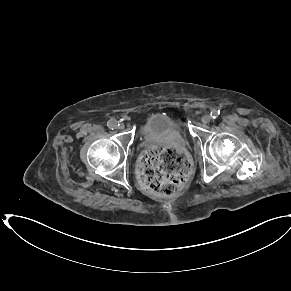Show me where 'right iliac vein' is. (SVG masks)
Instances as JSON below:
<instances>
[{
  "label": "right iliac vein",
  "mask_w": 291,
  "mask_h": 291,
  "mask_svg": "<svg viewBox=\"0 0 291 291\" xmlns=\"http://www.w3.org/2000/svg\"><path fill=\"white\" fill-rule=\"evenodd\" d=\"M125 125L123 123H119V125L117 126L118 129H124Z\"/></svg>",
  "instance_id": "obj_1"
}]
</instances>
